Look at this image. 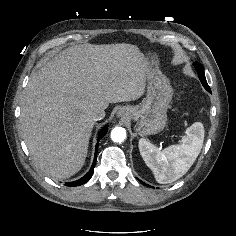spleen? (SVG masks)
Masks as SVG:
<instances>
[{
    "label": "spleen",
    "mask_w": 236,
    "mask_h": 236,
    "mask_svg": "<svg viewBox=\"0 0 236 236\" xmlns=\"http://www.w3.org/2000/svg\"><path fill=\"white\" fill-rule=\"evenodd\" d=\"M204 141V128L195 122L187 128L186 135L180 143L171 145L164 150L153 146L147 140H139V151L146 165L152 170L160 184L176 181L187 171L198 157Z\"/></svg>",
    "instance_id": "3e777b00"
}]
</instances>
